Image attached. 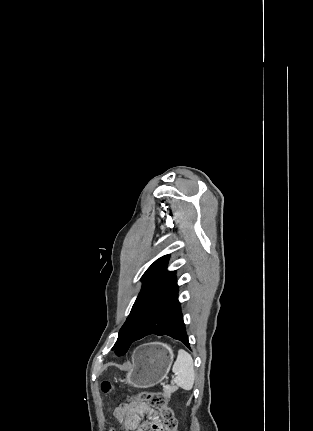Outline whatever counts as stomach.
I'll list each match as a JSON object with an SVG mask.
<instances>
[{
  "instance_id": "0dacf381",
  "label": "stomach",
  "mask_w": 313,
  "mask_h": 431,
  "mask_svg": "<svg viewBox=\"0 0 313 431\" xmlns=\"http://www.w3.org/2000/svg\"><path fill=\"white\" fill-rule=\"evenodd\" d=\"M173 351L166 344L151 342L140 345L133 354V364L126 383L136 388H149L160 383L173 362Z\"/></svg>"
}]
</instances>
